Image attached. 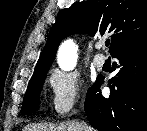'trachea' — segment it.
<instances>
[{
	"label": "trachea",
	"mask_w": 147,
	"mask_h": 131,
	"mask_svg": "<svg viewBox=\"0 0 147 131\" xmlns=\"http://www.w3.org/2000/svg\"><path fill=\"white\" fill-rule=\"evenodd\" d=\"M109 44H110V40H107L106 41V46H109Z\"/></svg>",
	"instance_id": "trachea-1"
}]
</instances>
